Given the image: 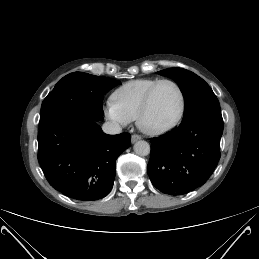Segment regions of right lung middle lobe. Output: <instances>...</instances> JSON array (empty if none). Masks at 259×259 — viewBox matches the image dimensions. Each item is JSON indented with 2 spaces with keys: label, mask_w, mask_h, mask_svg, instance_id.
I'll return each instance as SVG.
<instances>
[{
  "label": "right lung middle lobe",
  "mask_w": 259,
  "mask_h": 259,
  "mask_svg": "<svg viewBox=\"0 0 259 259\" xmlns=\"http://www.w3.org/2000/svg\"><path fill=\"white\" fill-rule=\"evenodd\" d=\"M119 84L115 79L83 72L66 75L44 99L39 126L61 117L103 120V96Z\"/></svg>",
  "instance_id": "dd1d6c3e"
}]
</instances>
